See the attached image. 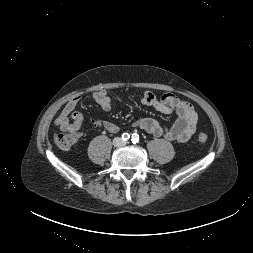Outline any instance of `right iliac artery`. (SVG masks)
<instances>
[{
  "mask_svg": "<svg viewBox=\"0 0 253 253\" xmlns=\"http://www.w3.org/2000/svg\"><path fill=\"white\" fill-rule=\"evenodd\" d=\"M130 138V135L128 133H123L122 134V140L127 141Z\"/></svg>",
  "mask_w": 253,
  "mask_h": 253,
  "instance_id": "obj_1",
  "label": "right iliac artery"
}]
</instances>
